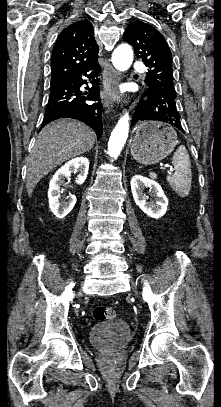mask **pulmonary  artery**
I'll return each mask as SVG.
<instances>
[{"mask_svg": "<svg viewBox=\"0 0 221 407\" xmlns=\"http://www.w3.org/2000/svg\"><path fill=\"white\" fill-rule=\"evenodd\" d=\"M134 69L137 72H143L144 71V65L142 63H137L134 65Z\"/></svg>", "mask_w": 221, "mask_h": 407, "instance_id": "obj_1", "label": "pulmonary artery"}]
</instances>
